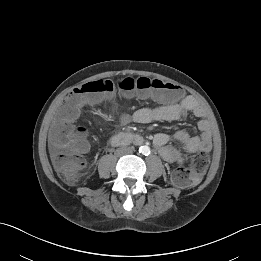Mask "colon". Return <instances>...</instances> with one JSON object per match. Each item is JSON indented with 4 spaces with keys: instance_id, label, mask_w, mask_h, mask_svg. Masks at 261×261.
<instances>
[{
    "instance_id": "1",
    "label": "colon",
    "mask_w": 261,
    "mask_h": 261,
    "mask_svg": "<svg viewBox=\"0 0 261 261\" xmlns=\"http://www.w3.org/2000/svg\"><path fill=\"white\" fill-rule=\"evenodd\" d=\"M118 89L126 94L137 92L141 99L159 102L177 100L180 88L172 83L159 79L139 77L123 78L117 82L109 79H98L79 85L64 101L59 109L60 121L54 126L51 136L54 143L64 149L54 159L55 167L62 177L70 183L76 181L85 161L83 154L88 149V140L82 128H74L70 121L79 112L84 101L98 94L112 93ZM209 164V156L201 152L191 160L190 167L178 166L171 171L172 182L180 187L194 185Z\"/></svg>"
}]
</instances>
